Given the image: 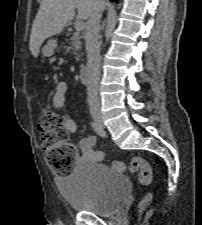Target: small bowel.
I'll use <instances>...</instances> for the list:
<instances>
[{
  "label": "small bowel",
  "instance_id": "c3829d8e",
  "mask_svg": "<svg viewBox=\"0 0 202 225\" xmlns=\"http://www.w3.org/2000/svg\"><path fill=\"white\" fill-rule=\"evenodd\" d=\"M67 90L68 85L66 81L59 80L51 101L54 109L60 110L63 107ZM62 126L68 133H75L78 129L75 120L67 115H62ZM95 145L96 138L94 136L83 137L80 141V148L82 150L81 157L93 162H101L104 159V153L97 150Z\"/></svg>",
  "mask_w": 202,
  "mask_h": 225
}]
</instances>
